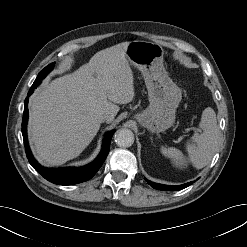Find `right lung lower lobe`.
Returning <instances> with one entry per match:
<instances>
[{"label":"right lung lower lobe","mask_w":247,"mask_h":247,"mask_svg":"<svg viewBox=\"0 0 247 247\" xmlns=\"http://www.w3.org/2000/svg\"><path fill=\"white\" fill-rule=\"evenodd\" d=\"M38 84L34 83L28 92V96L25 99V107L22 119V134L24 140V146L27 158L30 164L34 167V169L39 172L45 179L48 181L58 184V185H72L81 183L91 179L96 172L100 169L103 162L105 161L109 149H110V142L115 130L109 132L103 141V148L98 155V157L91 162L90 164L79 167V168H56V169H49L46 167L41 166L33 157L31 150L29 148L28 139H27V121H28V98L33 93L34 89H36Z\"/></svg>","instance_id":"right-lung-lower-lobe-1"}]
</instances>
